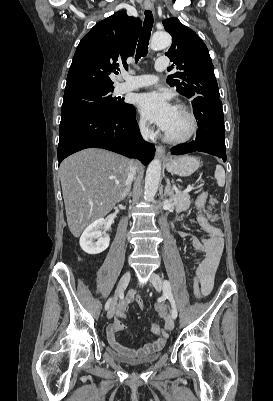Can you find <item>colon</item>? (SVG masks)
Wrapping results in <instances>:
<instances>
[{
	"instance_id": "5ec220e1",
	"label": "colon",
	"mask_w": 273,
	"mask_h": 401,
	"mask_svg": "<svg viewBox=\"0 0 273 401\" xmlns=\"http://www.w3.org/2000/svg\"><path fill=\"white\" fill-rule=\"evenodd\" d=\"M211 204H212V208L216 207V205H217V200H216L215 198H213V199L211 200ZM213 235H214V237H215L216 239H218V238L220 237V233H219V231L216 230V229L213 230ZM144 305H145V302H144L143 296H142L141 294H138V295L136 296V306L138 307V309H139L141 312H144V311H145V308L143 307Z\"/></svg>"
}]
</instances>
